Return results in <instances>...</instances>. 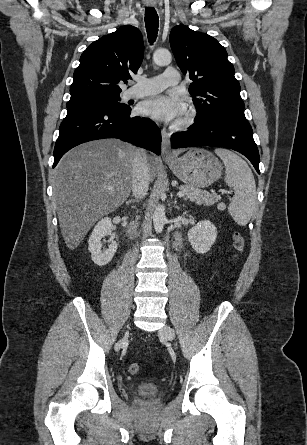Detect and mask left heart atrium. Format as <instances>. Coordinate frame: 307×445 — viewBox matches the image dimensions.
<instances>
[{
	"mask_svg": "<svg viewBox=\"0 0 307 445\" xmlns=\"http://www.w3.org/2000/svg\"><path fill=\"white\" fill-rule=\"evenodd\" d=\"M143 115L161 121H171L184 116L186 106L183 100L174 93L161 92L143 102L140 109Z\"/></svg>",
	"mask_w": 307,
	"mask_h": 445,
	"instance_id": "1",
	"label": "left heart atrium"
}]
</instances>
